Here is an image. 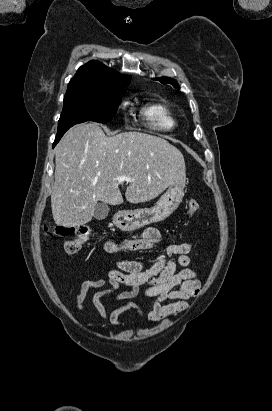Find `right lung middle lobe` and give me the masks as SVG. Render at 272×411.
<instances>
[{
	"label": "right lung middle lobe",
	"instance_id": "right-lung-middle-lobe-1",
	"mask_svg": "<svg viewBox=\"0 0 272 411\" xmlns=\"http://www.w3.org/2000/svg\"><path fill=\"white\" fill-rule=\"evenodd\" d=\"M124 94V87H103L92 91L66 93L57 136H63L70 127L78 123L112 121Z\"/></svg>",
	"mask_w": 272,
	"mask_h": 411
}]
</instances>
